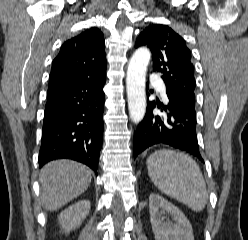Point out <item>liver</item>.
<instances>
[{"label": "liver", "instance_id": "6515ba94", "mask_svg": "<svg viewBox=\"0 0 248 240\" xmlns=\"http://www.w3.org/2000/svg\"><path fill=\"white\" fill-rule=\"evenodd\" d=\"M39 181L42 206L55 211L87 190L91 170L75 161L56 160L41 169Z\"/></svg>", "mask_w": 248, "mask_h": 240}]
</instances>
